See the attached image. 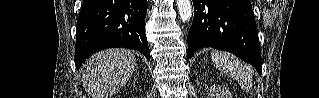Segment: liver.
<instances>
[{
  "mask_svg": "<svg viewBox=\"0 0 319 98\" xmlns=\"http://www.w3.org/2000/svg\"><path fill=\"white\" fill-rule=\"evenodd\" d=\"M135 55L123 48L94 54L82 70V83L91 98H111L131 78Z\"/></svg>",
  "mask_w": 319,
  "mask_h": 98,
  "instance_id": "1",
  "label": "liver"
}]
</instances>
